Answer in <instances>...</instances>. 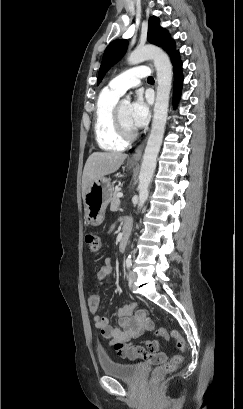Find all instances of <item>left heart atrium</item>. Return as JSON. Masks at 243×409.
<instances>
[{
    "mask_svg": "<svg viewBox=\"0 0 243 409\" xmlns=\"http://www.w3.org/2000/svg\"><path fill=\"white\" fill-rule=\"evenodd\" d=\"M150 118L149 102L140 94L130 105L129 119L134 127L141 128L147 124Z\"/></svg>",
    "mask_w": 243,
    "mask_h": 409,
    "instance_id": "1",
    "label": "left heart atrium"
}]
</instances>
